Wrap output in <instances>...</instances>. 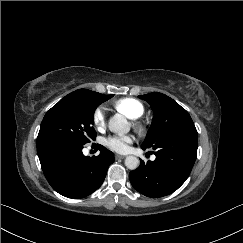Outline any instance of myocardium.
I'll return each mask as SVG.
<instances>
[{
    "instance_id": "myocardium-1",
    "label": "myocardium",
    "mask_w": 243,
    "mask_h": 243,
    "mask_svg": "<svg viewBox=\"0 0 243 243\" xmlns=\"http://www.w3.org/2000/svg\"><path fill=\"white\" fill-rule=\"evenodd\" d=\"M134 126L137 130L141 131L143 129V125L140 122H134Z\"/></svg>"
}]
</instances>
